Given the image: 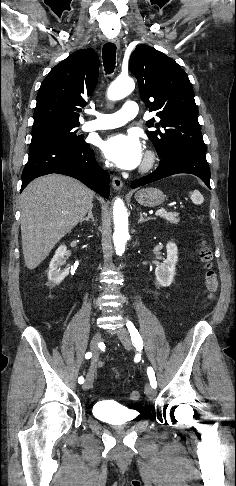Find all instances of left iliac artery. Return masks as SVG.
<instances>
[{"instance_id": "44dca946", "label": "left iliac artery", "mask_w": 236, "mask_h": 486, "mask_svg": "<svg viewBox=\"0 0 236 486\" xmlns=\"http://www.w3.org/2000/svg\"><path fill=\"white\" fill-rule=\"evenodd\" d=\"M126 326L128 328V331L130 333V336H131V339H132V342L134 343V345L136 347H143L142 338H141L138 330L134 326V324L131 321L128 320L127 323H126ZM147 374H148L151 386L153 388H156L157 387V381H156L155 373H154V370H153L152 367H148Z\"/></svg>"}]
</instances>
